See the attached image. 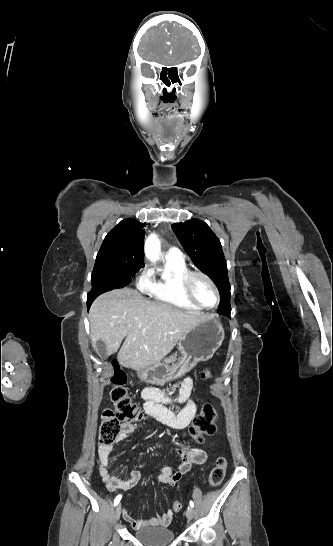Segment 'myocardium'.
<instances>
[{
    "mask_svg": "<svg viewBox=\"0 0 333 546\" xmlns=\"http://www.w3.org/2000/svg\"><path fill=\"white\" fill-rule=\"evenodd\" d=\"M194 277H201L203 278L204 280H206L214 289L215 293H216V303L215 305L209 307V306H205L203 305L201 302H199L197 300V298L194 296V294L192 293V290H191V281ZM181 289H182V292L184 294V296L190 301L192 302L194 305L200 307L201 309H205V310H211V309H214L216 308L219 303H220V290L217 286V284L214 282V280L209 276L207 275L206 273L202 272V271H197V270H188L181 278Z\"/></svg>",
    "mask_w": 333,
    "mask_h": 546,
    "instance_id": "myocardium-1",
    "label": "myocardium"
}]
</instances>
